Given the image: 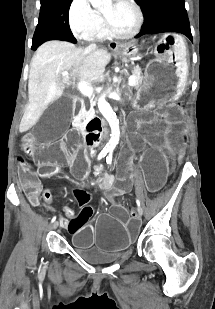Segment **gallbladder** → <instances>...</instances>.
Masks as SVG:
<instances>
[{"label":"gallbladder","instance_id":"bac80fb5","mask_svg":"<svg viewBox=\"0 0 215 309\" xmlns=\"http://www.w3.org/2000/svg\"><path fill=\"white\" fill-rule=\"evenodd\" d=\"M73 110L74 100L66 94L57 98L55 103H49L33 127V136H37L39 144H52L56 136H65Z\"/></svg>","mask_w":215,"mask_h":309}]
</instances>
